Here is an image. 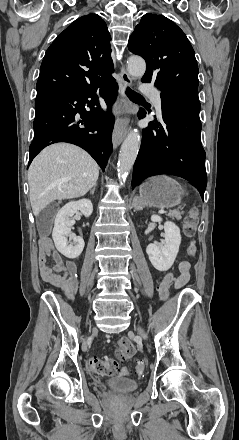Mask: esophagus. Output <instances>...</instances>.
Returning a JSON list of instances; mask_svg holds the SVG:
<instances>
[{
  "label": "esophagus",
  "instance_id": "esophagus-1",
  "mask_svg": "<svg viewBox=\"0 0 239 440\" xmlns=\"http://www.w3.org/2000/svg\"><path fill=\"white\" fill-rule=\"evenodd\" d=\"M120 76L122 79L123 84L120 85V94L122 96L125 95V86L126 85H131L132 84V79L130 78V76L128 75L127 71L122 68L121 72H120ZM130 123V117H118L115 121V126L113 129V135H112V140H113V147L117 148L118 145H120V143L123 141V139L125 138L127 131H128V125Z\"/></svg>",
  "mask_w": 239,
  "mask_h": 440
}]
</instances>
